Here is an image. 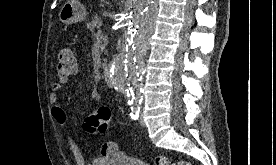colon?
I'll return each mask as SVG.
<instances>
[{"instance_id":"5ec220e1","label":"colon","mask_w":276,"mask_h":165,"mask_svg":"<svg viewBox=\"0 0 276 165\" xmlns=\"http://www.w3.org/2000/svg\"><path fill=\"white\" fill-rule=\"evenodd\" d=\"M56 72L60 78H70L77 72V63L74 52L70 48L62 49L57 57ZM110 110L106 107L95 109L84 122V128L95 135H102L106 132L110 120ZM114 148L113 144H106L102 151H109ZM154 165H191L186 161L170 162L165 156H156L153 159Z\"/></svg>"}]
</instances>
